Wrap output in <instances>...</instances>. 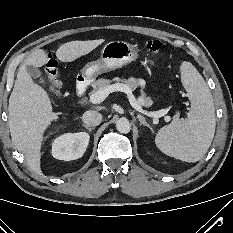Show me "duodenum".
<instances>
[{
  "label": "duodenum",
  "instance_id": "duodenum-1",
  "mask_svg": "<svg viewBox=\"0 0 233 233\" xmlns=\"http://www.w3.org/2000/svg\"><path fill=\"white\" fill-rule=\"evenodd\" d=\"M88 82L85 78H80L76 82V95L78 98L82 97L87 89Z\"/></svg>",
  "mask_w": 233,
  "mask_h": 233
}]
</instances>
